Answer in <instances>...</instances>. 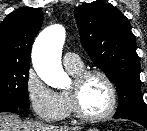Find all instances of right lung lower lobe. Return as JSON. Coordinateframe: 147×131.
I'll return each instance as SVG.
<instances>
[{"instance_id": "98d812e1", "label": "right lung lower lobe", "mask_w": 147, "mask_h": 131, "mask_svg": "<svg viewBox=\"0 0 147 131\" xmlns=\"http://www.w3.org/2000/svg\"><path fill=\"white\" fill-rule=\"evenodd\" d=\"M18 109L12 105L0 104V112H16Z\"/></svg>"}]
</instances>
